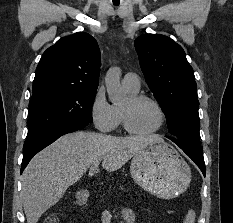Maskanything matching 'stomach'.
<instances>
[{
  "label": "stomach",
  "mask_w": 233,
  "mask_h": 223,
  "mask_svg": "<svg viewBox=\"0 0 233 223\" xmlns=\"http://www.w3.org/2000/svg\"><path fill=\"white\" fill-rule=\"evenodd\" d=\"M130 173L140 187L161 199L178 197L191 181L189 165L165 141H152L133 155Z\"/></svg>",
  "instance_id": "1"
}]
</instances>
